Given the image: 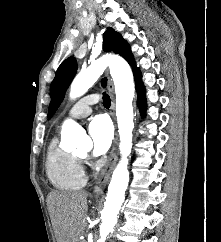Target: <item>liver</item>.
I'll list each match as a JSON object with an SVG mask.
<instances>
[{"label":"liver","instance_id":"liver-1","mask_svg":"<svg viewBox=\"0 0 221 242\" xmlns=\"http://www.w3.org/2000/svg\"><path fill=\"white\" fill-rule=\"evenodd\" d=\"M88 193L53 191L47 205L57 242H79L86 227Z\"/></svg>","mask_w":221,"mask_h":242}]
</instances>
